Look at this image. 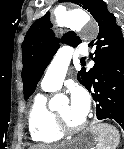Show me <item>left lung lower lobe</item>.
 Wrapping results in <instances>:
<instances>
[{
  "mask_svg": "<svg viewBox=\"0 0 124 149\" xmlns=\"http://www.w3.org/2000/svg\"><path fill=\"white\" fill-rule=\"evenodd\" d=\"M87 90L97 119H113L124 129V52L98 64Z\"/></svg>",
  "mask_w": 124,
  "mask_h": 149,
  "instance_id": "left-lung-lower-lobe-1",
  "label": "left lung lower lobe"
}]
</instances>
